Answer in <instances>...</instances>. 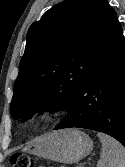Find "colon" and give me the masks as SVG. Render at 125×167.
<instances>
[{
	"instance_id": "colon-1",
	"label": "colon",
	"mask_w": 125,
	"mask_h": 167,
	"mask_svg": "<svg viewBox=\"0 0 125 167\" xmlns=\"http://www.w3.org/2000/svg\"><path fill=\"white\" fill-rule=\"evenodd\" d=\"M10 164L12 167H33L31 157L21 153L13 154L10 157Z\"/></svg>"
}]
</instances>
